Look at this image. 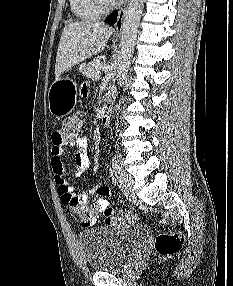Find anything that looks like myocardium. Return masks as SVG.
Instances as JSON below:
<instances>
[{
  "mask_svg": "<svg viewBox=\"0 0 233 286\" xmlns=\"http://www.w3.org/2000/svg\"><path fill=\"white\" fill-rule=\"evenodd\" d=\"M96 6L100 9L101 12H107L111 9H113L117 2L109 1V0H94Z\"/></svg>",
  "mask_w": 233,
  "mask_h": 286,
  "instance_id": "f54148a6",
  "label": "myocardium"
}]
</instances>
